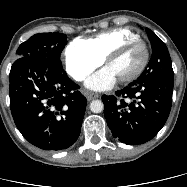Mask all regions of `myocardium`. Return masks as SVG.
<instances>
[{
  "label": "myocardium",
  "instance_id": "1",
  "mask_svg": "<svg viewBox=\"0 0 187 187\" xmlns=\"http://www.w3.org/2000/svg\"><path fill=\"white\" fill-rule=\"evenodd\" d=\"M134 44H142L144 46L145 57L141 65L132 74L119 79V82L121 83L131 82L137 79L144 72L150 60V47L148 43L142 38H136V39H130V40L124 41L118 46H116L115 48H113L110 52H108V54L104 58L105 64L107 65L112 59L121 56L130 46Z\"/></svg>",
  "mask_w": 187,
  "mask_h": 187
}]
</instances>
